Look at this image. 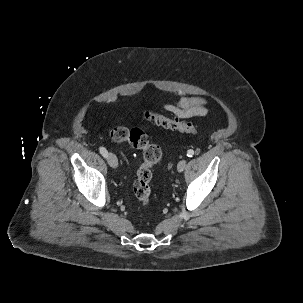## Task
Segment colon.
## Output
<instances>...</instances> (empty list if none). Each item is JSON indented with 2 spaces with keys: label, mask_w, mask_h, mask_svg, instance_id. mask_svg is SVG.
Segmentation results:
<instances>
[{
  "label": "colon",
  "mask_w": 303,
  "mask_h": 303,
  "mask_svg": "<svg viewBox=\"0 0 303 303\" xmlns=\"http://www.w3.org/2000/svg\"><path fill=\"white\" fill-rule=\"evenodd\" d=\"M143 117L146 121L168 130L191 135L197 133L194 124L181 121L177 118H168L153 110H145ZM109 136L115 142H128L132 147L142 152L143 162L137 170L136 178L133 182V192L141 204L147 206L151 195L150 181L152 178V167L162 157L161 148L156 144L150 143L147 134L139 128L127 129L122 126H116L110 129Z\"/></svg>",
  "instance_id": "1"
}]
</instances>
